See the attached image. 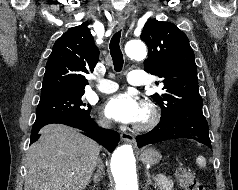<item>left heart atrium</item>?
<instances>
[{
    "label": "left heart atrium",
    "instance_id": "left-heart-atrium-1",
    "mask_svg": "<svg viewBox=\"0 0 238 190\" xmlns=\"http://www.w3.org/2000/svg\"><path fill=\"white\" fill-rule=\"evenodd\" d=\"M141 105L131 93H119L112 96L105 104L108 117L121 123H134L138 120Z\"/></svg>",
    "mask_w": 238,
    "mask_h": 190
}]
</instances>
